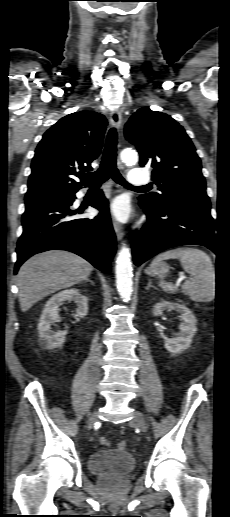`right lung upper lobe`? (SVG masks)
Wrapping results in <instances>:
<instances>
[{
    "instance_id": "obj_1",
    "label": "right lung upper lobe",
    "mask_w": 230,
    "mask_h": 517,
    "mask_svg": "<svg viewBox=\"0 0 230 517\" xmlns=\"http://www.w3.org/2000/svg\"><path fill=\"white\" fill-rule=\"evenodd\" d=\"M106 126L103 115L80 111L61 118L47 130L32 160L25 201L68 195L87 186L83 171L90 170L91 162L99 156Z\"/></svg>"
}]
</instances>
